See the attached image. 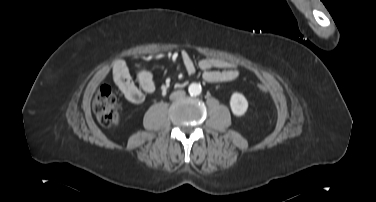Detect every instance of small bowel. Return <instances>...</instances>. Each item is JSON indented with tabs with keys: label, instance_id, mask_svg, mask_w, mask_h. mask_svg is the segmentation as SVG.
<instances>
[{
	"label": "small bowel",
	"instance_id": "small-bowel-1",
	"mask_svg": "<svg viewBox=\"0 0 376 202\" xmlns=\"http://www.w3.org/2000/svg\"><path fill=\"white\" fill-rule=\"evenodd\" d=\"M179 56L187 72L194 74L196 66L189 52L182 50ZM198 67L203 71V80L208 83L230 82L239 76L237 64L223 58L204 57L199 60ZM112 75L115 85L125 99L132 104H141L144 101V93H151L156 87L151 72L146 69L137 71V86L131 77L127 63L122 59L113 65Z\"/></svg>",
	"mask_w": 376,
	"mask_h": 202
}]
</instances>
